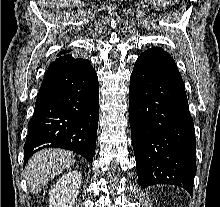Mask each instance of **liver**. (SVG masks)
Listing matches in <instances>:
<instances>
[{"label": "liver", "instance_id": "obj_1", "mask_svg": "<svg viewBox=\"0 0 220 207\" xmlns=\"http://www.w3.org/2000/svg\"><path fill=\"white\" fill-rule=\"evenodd\" d=\"M75 162L71 152L45 149L34 154L25 168V179L31 193L38 194L49 180L62 173Z\"/></svg>", "mask_w": 220, "mask_h": 207}]
</instances>
